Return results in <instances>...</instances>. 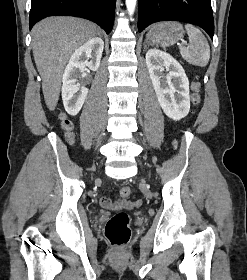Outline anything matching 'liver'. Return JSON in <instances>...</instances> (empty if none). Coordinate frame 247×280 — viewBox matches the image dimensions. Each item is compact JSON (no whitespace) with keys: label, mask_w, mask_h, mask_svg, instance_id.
Masks as SVG:
<instances>
[{"label":"liver","mask_w":247,"mask_h":280,"mask_svg":"<svg viewBox=\"0 0 247 280\" xmlns=\"http://www.w3.org/2000/svg\"><path fill=\"white\" fill-rule=\"evenodd\" d=\"M96 35L93 23L75 17H48L33 27V56L50 111L57 106L63 71L71 55Z\"/></svg>","instance_id":"liver-1"}]
</instances>
